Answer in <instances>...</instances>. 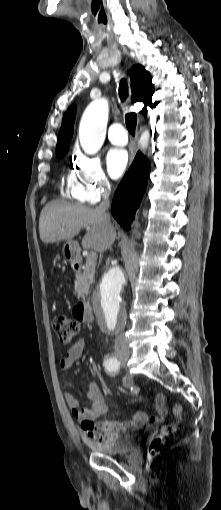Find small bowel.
<instances>
[{"instance_id": "1", "label": "small bowel", "mask_w": 221, "mask_h": 510, "mask_svg": "<svg viewBox=\"0 0 221 510\" xmlns=\"http://www.w3.org/2000/svg\"><path fill=\"white\" fill-rule=\"evenodd\" d=\"M85 350V340L77 338L66 349L64 356L59 362L62 371H69L74 363L82 356ZM86 396L91 401L89 407H81L78 400L69 391L64 392V400L70 408L72 416L82 424L85 435L93 440H98V434L103 436L101 442H111L121 435L135 431L148 422L161 421L167 414L165 397L162 394L155 395V411L149 415L145 411H138L134 417L125 422L98 421L107 412V404L99 387L91 382L86 389Z\"/></svg>"}]
</instances>
